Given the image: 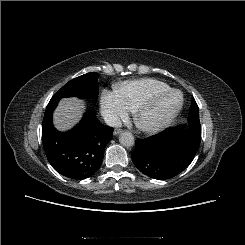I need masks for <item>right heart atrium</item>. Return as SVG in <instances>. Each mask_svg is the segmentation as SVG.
Returning a JSON list of instances; mask_svg holds the SVG:
<instances>
[{"label": "right heart atrium", "instance_id": "obj_1", "mask_svg": "<svg viewBox=\"0 0 245 245\" xmlns=\"http://www.w3.org/2000/svg\"><path fill=\"white\" fill-rule=\"evenodd\" d=\"M100 109L104 118L112 125L127 118L131 110L115 90L102 91Z\"/></svg>", "mask_w": 245, "mask_h": 245}]
</instances>
